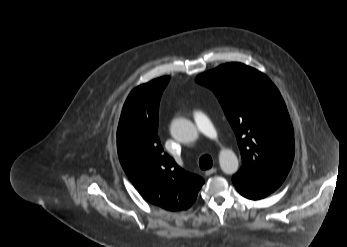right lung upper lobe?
Masks as SVG:
<instances>
[{"label": "right lung upper lobe", "instance_id": "obj_1", "mask_svg": "<svg viewBox=\"0 0 347 247\" xmlns=\"http://www.w3.org/2000/svg\"><path fill=\"white\" fill-rule=\"evenodd\" d=\"M168 81L160 77L129 94L117 129V149L124 171L146 200L166 210H186L204 180L180 168L161 146L158 109Z\"/></svg>", "mask_w": 347, "mask_h": 247}]
</instances>
